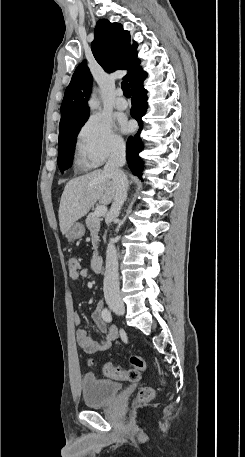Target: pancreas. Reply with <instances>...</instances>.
Instances as JSON below:
<instances>
[{
  "mask_svg": "<svg viewBox=\"0 0 245 457\" xmlns=\"http://www.w3.org/2000/svg\"><path fill=\"white\" fill-rule=\"evenodd\" d=\"M100 220L101 218H99V216H94L93 212H89V214H87L86 226L90 231L94 255H98L97 241H99L98 231H100Z\"/></svg>",
  "mask_w": 245,
  "mask_h": 457,
  "instance_id": "1",
  "label": "pancreas"
}]
</instances>
